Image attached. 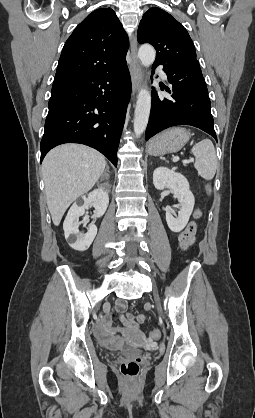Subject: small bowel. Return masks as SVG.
<instances>
[{
  "label": "small bowel",
  "mask_w": 255,
  "mask_h": 418,
  "mask_svg": "<svg viewBox=\"0 0 255 418\" xmlns=\"http://www.w3.org/2000/svg\"><path fill=\"white\" fill-rule=\"evenodd\" d=\"M179 234L181 249H190L194 244L195 237L199 235V230L198 228H182ZM125 309L126 304L123 301H119L115 306V310L125 325L124 329H118L116 333L111 330L110 324L114 315L107 316L105 322L97 328L99 341L105 347L113 348L119 346L122 343L123 337L134 339L141 337L138 329V321L142 320V316L135 318L130 314H124Z\"/></svg>",
  "instance_id": "1"
}]
</instances>
